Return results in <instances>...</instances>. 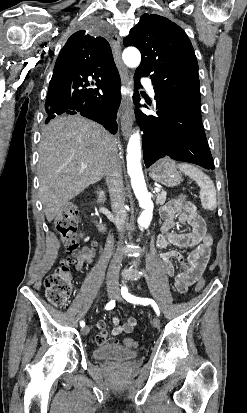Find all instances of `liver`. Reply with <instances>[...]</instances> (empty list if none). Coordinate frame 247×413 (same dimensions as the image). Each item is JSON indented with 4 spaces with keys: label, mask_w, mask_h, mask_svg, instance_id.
I'll return each instance as SVG.
<instances>
[{
    "label": "liver",
    "mask_w": 247,
    "mask_h": 413,
    "mask_svg": "<svg viewBox=\"0 0 247 413\" xmlns=\"http://www.w3.org/2000/svg\"><path fill=\"white\" fill-rule=\"evenodd\" d=\"M112 134L80 114L52 118L39 142V194L49 223L68 200L101 180Z\"/></svg>",
    "instance_id": "1"
}]
</instances>
